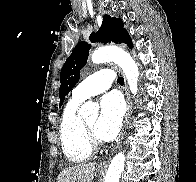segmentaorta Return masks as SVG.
I'll list each match as a JSON object with an SVG mask.
<instances>
[{"label":"aorta","instance_id":"obj_1","mask_svg":"<svg viewBox=\"0 0 196 182\" xmlns=\"http://www.w3.org/2000/svg\"><path fill=\"white\" fill-rule=\"evenodd\" d=\"M91 60L94 64L113 61L118 64L127 78L132 94L137 93V81L139 77L138 67L133 58L127 52L115 47H103L93 52ZM99 106L92 101L84 103L78 111V115L86 118L93 115L98 116ZM125 167V155L123 152L116 154L109 165L104 182H119Z\"/></svg>","mask_w":196,"mask_h":182}]
</instances>
